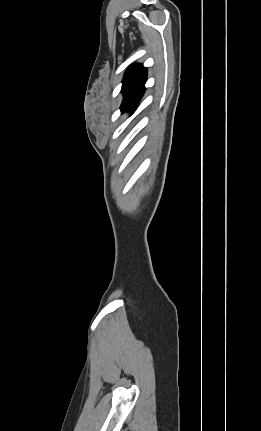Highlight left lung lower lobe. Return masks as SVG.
Returning <instances> with one entry per match:
<instances>
[{
  "mask_svg": "<svg viewBox=\"0 0 261 431\" xmlns=\"http://www.w3.org/2000/svg\"><path fill=\"white\" fill-rule=\"evenodd\" d=\"M144 91H145V88L143 87L142 90L135 97V99L133 100V102L130 104L129 108L127 109L128 111H133L136 108V106H137L138 102L140 101V99H141Z\"/></svg>",
  "mask_w": 261,
  "mask_h": 431,
  "instance_id": "obj_1",
  "label": "left lung lower lobe"
}]
</instances>
